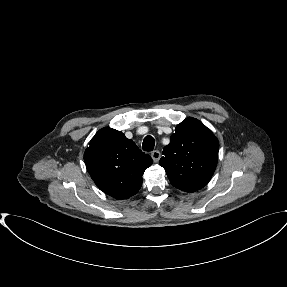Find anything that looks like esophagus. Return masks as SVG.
Returning a JSON list of instances; mask_svg holds the SVG:
<instances>
[{
  "mask_svg": "<svg viewBox=\"0 0 287 287\" xmlns=\"http://www.w3.org/2000/svg\"><path fill=\"white\" fill-rule=\"evenodd\" d=\"M151 157H152L154 162H158L160 157H161V154L158 150H155L151 153Z\"/></svg>",
  "mask_w": 287,
  "mask_h": 287,
  "instance_id": "esophagus-1",
  "label": "esophagus"
}]
</instances>
